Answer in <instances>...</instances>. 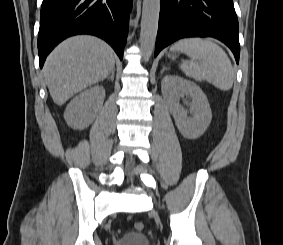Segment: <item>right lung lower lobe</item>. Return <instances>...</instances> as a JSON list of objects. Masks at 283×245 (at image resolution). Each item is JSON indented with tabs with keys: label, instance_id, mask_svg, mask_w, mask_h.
<instances>
[{
	"label": "right lung lower lobe",
	"instance_id": "obj_1",
	"mask_svg": "<svg viewBox=\"0 0 283 245\" xmlns=\"http://www.w3.org/2000/svg\"><path fill=\"white\" fill-rule=\"evenodd\" d=\"M132 0H43L38 34L40 68L65 38L92 34L108 42L122 59Z\"/></svg>",
	"mask_w": 283,
	"mask_h": 245
}]
</instances>
